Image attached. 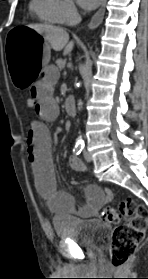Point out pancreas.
<instances>
[{
    "mask_svg": "<svg viewBox=\"0 0 148 279\" xmlns=\"http://www.w3.org/2000/svg\"><path fill=\"white\" fill-rule=\"evenodd\" d=\"M57 66L62 69L65 66V61L62 59H59L56 61Z\"/></svg>",
    "mask_w": 148,
    "mask_h": 279,
    "instance_id": "1",
    "label": "pancreas"
}]
</instances>
